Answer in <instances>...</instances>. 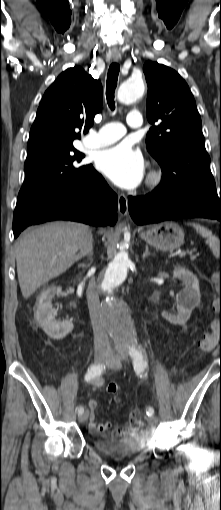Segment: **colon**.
Wrapping results in <instances>:
<instances>
[{
    "instance_id": "colon-1",
    "label": "colon",
    "mask_w": 221,
    "mask_h": 510,
    "mask_svg": "<svg viewBox=\"0 0 221 510\" xmlns=\"http://www.w3.org/2000/svg\"><path fill=\"white\" fill-rule=\"evenodd\" d=\"M220 290H221V274L219 278ZM218 343H221V310L219 320L214 322L204 336L200 339L198 343V348L201 354L205 355L210 353ZM118 390V385L114 382H111L107 386V391L110 394H115ZM116 401H119L117 399ZM135 415L139 417V412L136 410L134 412Z\"/></svg>"
}]
</instances>
